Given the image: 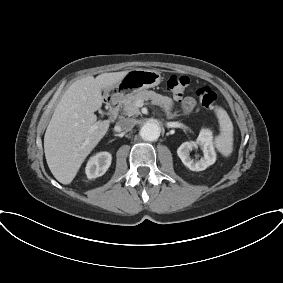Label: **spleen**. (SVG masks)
<instances>
[{"label":"spleen","mask_w":283,"mask_h":283,"mask_svg":"<svg viewBox=\"0 0 283 283\" xmlns=\"http://www.w3.org/2000/svg\"><path fill=\"white\" fill-rule=\"evenodd\" d=\"M215 113L220 128V134L215 138V146L223 156L229 157L233 152V124L223 108L216 107Z\"/></svg>","instance_id":"1"}]
</instances>
